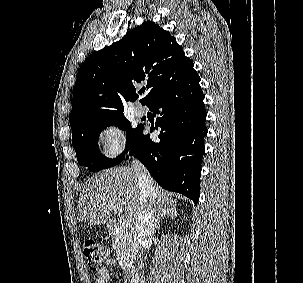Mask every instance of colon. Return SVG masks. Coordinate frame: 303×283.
Wrapping results in <instances>:
<instances>
[{"mask_svg":"<svg viewBox=\"0 0 303 283\" xmlns=\"http://www.w3.org/2000/svg\"><path fill=\"white\" fill-rule=\"evenodd\" d=\"M83 253L90 270L99 272L105 266L111 254V248L102 242L87 241L83 245Z\"/></svg>","mask_w":303,"mask_h":283,"instance_id":"obj_1","label":"colon"}]
</instances>
